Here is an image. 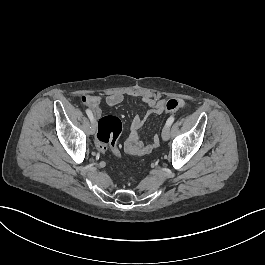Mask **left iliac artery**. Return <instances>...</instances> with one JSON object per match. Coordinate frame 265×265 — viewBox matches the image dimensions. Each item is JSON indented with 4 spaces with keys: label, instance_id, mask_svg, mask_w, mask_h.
<instances>
[{
    "label": "left iliac artery",
    "instance_id": "1",
    "mask_svg": "<svg viewBox=\"0 0 265 265\" xmlns=\"http://www.w3.org/2000/svg\"><path fill=\"white\" fill-rule=\"evenodd\" d=\"M174 120H175L174 116H170L166 121V125L171 126Z\"/></svg>",
    "mask_w": 265,
    "mask_h": 265
}]
</instances>
